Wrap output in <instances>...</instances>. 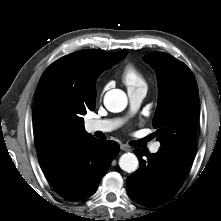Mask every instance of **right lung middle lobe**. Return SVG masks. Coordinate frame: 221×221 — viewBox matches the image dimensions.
I'll return each instance as SVG.
<instances>
[{
	"mask_svg": "<svg viewBox=\"0 0 221 221\" xmlns=\"http://www.w3.org/2000/svg\"><path fill=\"white\" fill-rule=\"evenodd\" d=\"M66 84V77L57 69L47 70L42 75L36 93L34 107L39 113L48 115L53 119L62 120L66 117H78L83 121L82 115L86 109L72 105L64 96L63 88Z\"/></svg>",
	"mask_w": 221,
	"mask_h": 221,
	"instance_id": "right-lung-middle-lobe-1",
	"label": "right lung middle lobe"
}]
</instances>
